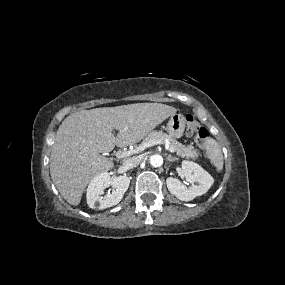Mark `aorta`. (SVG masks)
<instances>
[{
  "mask_svg": "<svg viewBox=\"0 0 285 285\" xmlns=\"http://www.w3.org/2000/svg\"><path fill=\"white\" fill-rule=\"evenodd\" d=\"M150 164L155 168L161 167L163 165V157L159 154L151 155Z\"/></svg>",
  "mask_w": 285,
  "mask_h": 285,
  "instance_id": "aorta-1",
  "label": "aorta"
}]
</instances>
